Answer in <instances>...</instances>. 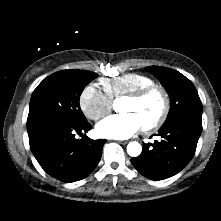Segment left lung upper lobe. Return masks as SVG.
Wrapping results in <instances>:
<instances>
[{"instance_id":"obj_1","label":"left lung upper lobe","mask_w":221,"mask_h":221,"mask_svg":"<svg viewBox=\"0 0 221 221\" xmlns=\"http://www.w3.org/2000/svg\"><path fill=\"white\" fill-rule=\"evenodd\" d=\"M149 72L156 75L171 98V108L164 124L183 116L202 117V103L193 83L180 72L161 66H149Z\"/></svg>"}]
</instances>
